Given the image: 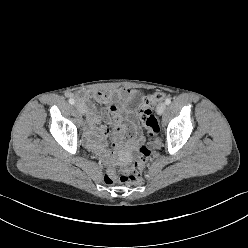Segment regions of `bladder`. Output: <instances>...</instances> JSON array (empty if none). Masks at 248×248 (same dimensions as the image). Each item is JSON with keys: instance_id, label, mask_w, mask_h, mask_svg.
<instances>
[{"instance_id": "obj_1", "label": "bladder", "mask_w": 248, "mask_h": 248, "mask_svg": "<svg viewBox=\"0 0 248 248\" xmlns=\"http://www.w3.org/2000/svg\"><path fill=\"white\" fill-rule=\"evenodd\" d=\"M136 99H134L133 101H131L128 105L129 108H133L134 104H135Z\"/></svg>"}]
</instances>
